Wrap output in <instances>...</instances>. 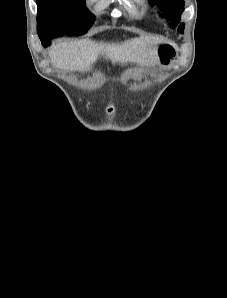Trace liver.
I'll return each mask as SVG.
<instances>
[{
    "label": "liver",
    "instance_id": "obj_1",
    "mask_svg": "<svg viewBox=\"0 0 227 298\" xmlns=\"http://www.w3.org/2000/svg\"><path fill=\"white\" fill-rule=\"evenodd\" d=\"M163 42V38L146 36L123 43H98L89 39L62 41L52 46L49 56L53 66L65 71L89 69L99 56L112 63L153 65L158 62V44Z\"/></svg>",
    "mask_w": 227,
    "mask_h": 298
}]
</instances>
